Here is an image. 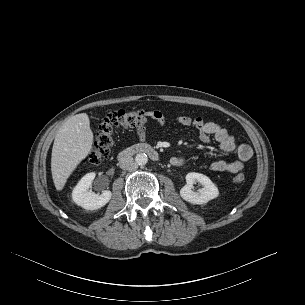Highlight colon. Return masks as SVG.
I'll use <instances>...</instances> for the list:
<instances>
[{"mask_svg":"<svg viewBox=\"0 0 305 305\" xmlns=\"http://www.w3.org/2000/svg\"><path fill=\"white\" fill-rule=\"evenodd\" d=\"M160 115L158 111L148 110H117L110 112L103 119L96 133V139L91 148L86 162L90 165H97L110 155L114 143L115 131L144 126L149 118H156ZM234 183L241 184L245 181L243 174H238L233 178Z\"/></svg>","mask_w":305,"mask_h":305,"instance_id":"1","label":"colon"}]
</instances>
